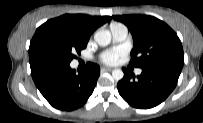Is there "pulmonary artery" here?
Returning <instances> with one entry per match:
<instances>
[{"mask_svg":"<svg viewBox=\"0 0 203 123\" xmlns=\"http://www.w3.org/2000/svg\"><path fill=\"white\" fill-rule=\"evenodd\" d=\"M110 30L113 36V41L116 43L124 41L127 37L128 29L124 24L113 23L110 26ZM141 72H142L141 69H137L135 73L137 75H140Z\"/></svg>","mask_w":203,"mask_h":123,"instance_id":"1","label":"pulmonary artery"}]
</instances>
